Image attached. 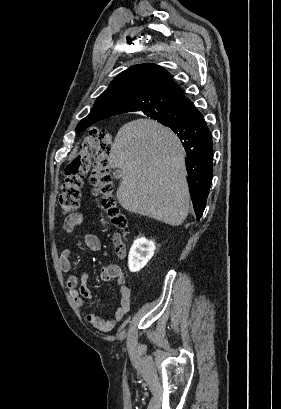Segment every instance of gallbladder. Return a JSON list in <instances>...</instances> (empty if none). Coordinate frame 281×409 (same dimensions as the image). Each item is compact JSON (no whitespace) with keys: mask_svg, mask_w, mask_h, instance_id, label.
I'll use <instances>...</instances> for the list:
<instances>
[{"mask_svg":"<svg viewBox=\"0 0 281 409\" xmlns=\"http://www.w3.org/2000/svg\"><path fill=\"white\" fill-rule=\"evenodd\" d=\"M113 174H114L115 178H120V176H121L120 170H115V172H113Z\"/></svg>","mask_w":281,"mask_h":409,"instance_id":"1","label":"gallbladder"}]
</instances>
